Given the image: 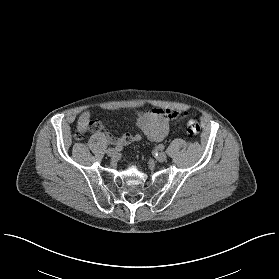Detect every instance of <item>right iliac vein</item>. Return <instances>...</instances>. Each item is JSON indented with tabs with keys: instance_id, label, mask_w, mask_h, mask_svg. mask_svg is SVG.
I'll use <instances>...</instances> for the list:
<instances>
[{
	"instance_id": "1",
	"label": "right iliac vein",
	"mask_w": 279,
	"mask_h": 279,
	"mask_svg": "<svg viewBox=\"0 0 279 279\" xmlns=\"http://www.w3.org/2000/svg\"><path fill=\"white\" fill-rule=\"evenodd\" d=\"M106 154L110 157L114 156L116 154V150L114 148H108L106 150Z\"/></svg>"
}]
</instances>
